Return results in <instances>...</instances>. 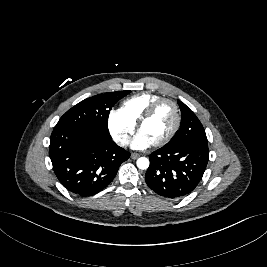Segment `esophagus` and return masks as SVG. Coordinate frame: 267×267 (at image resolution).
<instances>
[{
  "mask_svg": "<svg viewBox=\"0 0 267 267\" xmlns=\"http://www.w3.org/2000/svg\"><path fill=\"white\" fill-rule=\"evenodd\" d=\"M138 157H139V154H137V153H132V154H131V158H132L133 160L137 159Z\"/></svg>",
  "mask_w": 267,
  "mask_h": 267,
  "instance_id": "1",
  "label": "esophagus"
}]
</instances>
